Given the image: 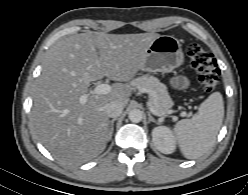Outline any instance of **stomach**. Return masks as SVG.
Listing matches in <instances>:
<instances>
[{
    "label": "stomach",
    "instance_id": "0dacf381",
    "mask_svg": "<svg viewBox=\"0 0 248 195\" xmlns=\"http://www.w3.org/2000/svg\"><path fill=\"white\" fill-rule=\"evenodd\" d=\"M184 63V54L178 39L169 35L156 38L146 50L142 70L168 73Z\"/></svg>",
    "mask_w": 248,
    "mask_h": 195
}]
</instances>
